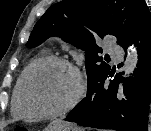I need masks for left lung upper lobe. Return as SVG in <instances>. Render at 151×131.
I'll return each mask as SVG.
<instances>
[{"label": "left lung upper lobe", "mask_w": 151, "mask_h": 131, "mask_svg": "<svg viewBox=\"0 0 151 131\" xmlns=\"http://www.w3.org/2000/svg\"><path fill=\"white\" fill-rule=\"evenodd\" d=\"M143 3L144 0H63L38 20L26 46L33 48L57 36L84 50L89 88L111 69L99 55L102 49L96 42L113 36L122 46Z\"/></svg>", "instance_id": "obj_1"}]
</instances>
